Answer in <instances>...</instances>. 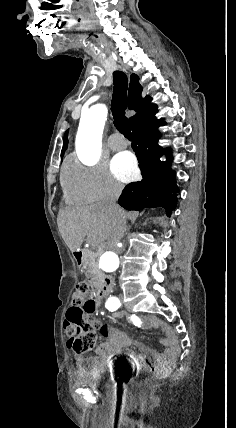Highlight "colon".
Returning a JSON list of instances; mask_svg holds the SVG:
<instances>
[{
  "instance_id": "1",
  "label": "colon",
  "mask_w": 236,
  "mask_h": 428,
  "mask_svg": "<svg viewBox=\"0 0 236 428\" xmlns=\"http://www.w3.org/2000/svg\"><path fill=\"white\" fill-rule=\"evenodd\" d=\"M96 303L89 298V288L84 282L76 285L72 296V306L68 309L64 328L68 337V346L76 353L91 351L96 343L90 314L94 311ZM145 388L152 384L151 379L141 381Z\"/></svg>"
}]
</instances>
